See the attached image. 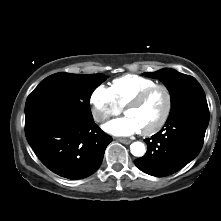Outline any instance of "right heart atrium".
<instances>
[{
  "mask_svg": "<svg viewBox=\"0 0 221 221\" xmlns=\"http://www.w3.org/2000/svg\"><path fill=\"white\" fill-rule=\"evenodd\" d=\"M91 112L94 120L103 123L112 116L121 113L122 108L117 104L109 87L100 84L90 96Z\"/></svg>",
  "mask_w": 221,
  "mask_h": 221,
  "instance_id": "obj_1",
  "label": "right heart atrium"
}]
</instances>
